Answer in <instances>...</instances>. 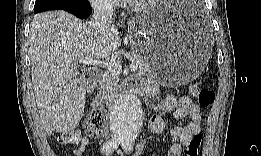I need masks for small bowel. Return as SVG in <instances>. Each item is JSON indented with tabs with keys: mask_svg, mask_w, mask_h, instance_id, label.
Wrapping results in <instances>:
<instances>
[{
	"mask_svg": "<svg viewBox=\"0 0 261 156\" xmlns=\"http://www.w3.org/2000/svg\"><path fill=\"white\" fill-rule=\"evenodd\" d=\"M130 82L134 87L141 93L149 95L155 93V87L149 82L140 80L138 78L130 79ZM157 107L162 112H172L177 120L189 118V122L185 125H178L174 127L171 134V145L167 150V156H180L183 148L189 143L191 138L196 134L200 133L203 127V115L200 107L193 103L188 96L176 97L169 95L157 102ZM165 129L164 120L158 116L153 115L150 118V130L153 133H162ZM90 139L84 136L81 140L80 145L74 150V155H84ZM147 147V143L144 140L139 141L137 144L134 155L140 156L144 153ZM105 154V153H103ZM106 155V154H105Z\"/></svg>",
	"mask_w": 261,
	"mask_h": 156,
	"instance_id": "small-bowel-1",
	"label": "small bowel"
}]
</instances>
